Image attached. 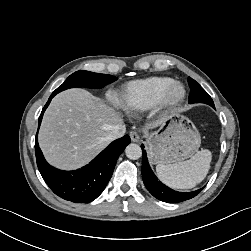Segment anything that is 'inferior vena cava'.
Returning a JSON list of instances; mask_svg holds the SVG:
<instances>
[{"instance_id": "inferior-vena-cava-1", "label": "inferior vena cava", "mask_w": 251, "mask_h": 251, "mask_svg": "<svg viewBox=\"0 0 251 251\" xmlns=\"http://www.w3.org/2000/svg\"><path fill=\"white\" fill-rule=\"evenodd\" d=\"M126 131L125 125L121 124V125H116L112 131L108 134V136L106 137V140L108 141H112L115 140L119 137H121Z\"/></svg>"}]
</instances>
